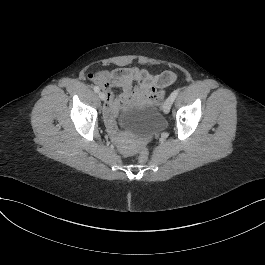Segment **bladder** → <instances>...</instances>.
<instances>
[{"instance_id":"1","label":"bladder","mask_w":265,"mask_h":265,"mask_svg":"<svg viewBox=\"0 0 265 265\" xmlns=\"http://www.w3.org/2000/svg\"><path fill=\"white\" fill-rule=\"evenodd\" d=\"M163 113L155 106L133 108L122 116V126L128 131L138 134L155 133L160 129Z\"/></svg>"}]
</instances>
